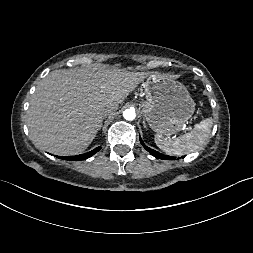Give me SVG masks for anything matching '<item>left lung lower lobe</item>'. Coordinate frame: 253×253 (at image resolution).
<instances>
[{
	"label": "left lung lower lobe",
	"mask_w": 253,
	"mask_h": 253,
	"mask_svg": "<svg viewBox=\"0 0 253 253\" xmlns=\"http://www.w3.org/2000/svg\"><path fill=\"white\" fill-rule=\"evenodd\" d=\"M140 142L141 144L143 145V147L151 154L153 155L154 157L158 158V159H165V160H173L175 159V157H171V156H167V155H163V154H160L152 149H150L149 147H147L146 145H144L143 141L141 140L140 138Z\"/></svg>",
	"instance_id": "0a47b994"
}]
</instances>
